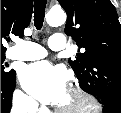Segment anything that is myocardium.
<instances>
[{
	"instance_id": "1",
	"label": "myocardium",
	"mask_w": 121,
	"mask_h": 113,
	"mask_svg": "<svg viewBox=\"0 0 121 113\" xmlns=\"http://www.w3.org/2000/svg\"><path fill=\"white\" fill-rule=\"evenodd\" d=\"M69 92L77 95L85 102V109H69V110H63L58 108L60 112L63 113H80L77 112L78 110H90V111H99L101 110V103L100 101L91 93H89L87 90H85L83 87L74 85L69 87ZM85 113V112H82Z\"/></svg>"
}]
</instances>
